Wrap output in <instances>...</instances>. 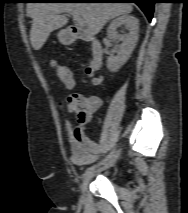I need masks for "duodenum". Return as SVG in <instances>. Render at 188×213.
I'll return each mask as SVG.
<instances>
[{
  "instance_id": "duodenum-1",
  "label": "duodenum",
  "mask_w": 188,
  "mask_h": 213,
  "mask_svg": "<svg viewBox=\"0 0 188 213\" xmlns=\"http://www.w3.org/2000/svg\"><path fill=\"white\" fill-rule=\"evenodd\" d=\"M69 33L70 43H75L77 41L91 42V64L94 69H99L103 62V48L99 40L85 29L78 27H71Z\"/></svg>"
}]
</instances>
